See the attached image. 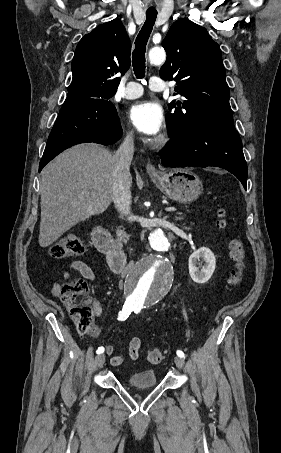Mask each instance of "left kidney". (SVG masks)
I'll return each mask as SVG.
<instances>
[{"mask_svg": "<svg viewBox=\"0 0 281 453\" xmlns=\"http://www.w3.org/2000/svg\"><path fill=\"white\" fill-rule=\"evenodd\" d=\"M204 261V265H200L198 267V261ZM202 267V269H200ZM216 267V259L210 251V249H206V247H201L198 251H194L192 255L189 257V273L191 279H193L194 283H207L210 277H212Z\"/></svg>", "mask_w": 281, "mask_h": 453, "instance_id": "obj_1", "label": "left kidney"}]
</instances>
